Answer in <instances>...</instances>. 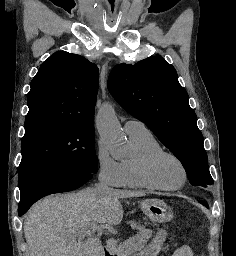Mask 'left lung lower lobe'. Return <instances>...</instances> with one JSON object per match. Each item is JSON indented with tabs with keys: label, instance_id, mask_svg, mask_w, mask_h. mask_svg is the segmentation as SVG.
Here are the masks:
<instances>
[{
	"label": "left lung lower lobe",
	"instance_id": "obj_1",
	"mask_svg": "<svg viewBox=\"0 0 236 256\" xmlns=\"http://www.w3.org/2000/svg\"><path fill=\"white\" fill-rule=\"evenodd\" d=\"M201 203L207 206V203H205V202H202V201H201Z\"/></svg>",
	"mask_w": 236,
	"mask_h": 256
}]
</instances>
